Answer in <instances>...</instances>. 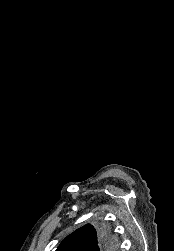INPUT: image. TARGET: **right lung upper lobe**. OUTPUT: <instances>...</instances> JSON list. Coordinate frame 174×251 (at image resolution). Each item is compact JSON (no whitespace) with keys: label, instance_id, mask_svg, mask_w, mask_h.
I'll use <instances>...</instances> for the list:
<instances>
[{"label":"right lung upper lobe","instance_id":"right-lung-upper-lobe-1","mask_svg":"<svg viewBox=\"0 0 174 251\" xmlns=\"http://www.w3.org/2000/svg\"><path fill=\"white\" fill-rule=\"evenodd\" d=\"M99 241L100 231L87 224L67 236L56 251H93Z\"/></svg>","mask_w":174,"mask_h":251}]
</instances>
